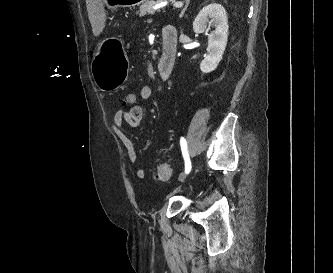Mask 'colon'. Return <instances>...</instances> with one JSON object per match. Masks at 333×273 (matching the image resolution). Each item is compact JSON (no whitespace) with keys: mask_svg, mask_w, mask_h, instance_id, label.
I'll return each instance as SVG.
<instances>
[{"mask_svg":"<svg viewBox=\"0 0 333 273\" xmlns=\"http://www.w3.org/2000/svg\"><path fill=\"white\" fill-rule=\"evenodd\" d=\"M122 105L127 107H134L137 105V95L134 92L126 93L122 98ZM171 176V168L167 163H161L156 170V180L159 182L167 181Z\"/></svg>","mask_w":333,"mask_h":273,"instance_id":"5ec220e1","label":"colon"}]
</instances>
